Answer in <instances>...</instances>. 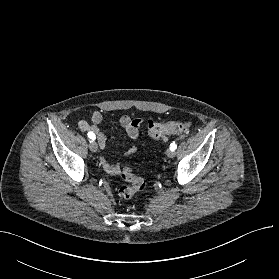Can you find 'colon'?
<instances>
[{
	"mask_svg": "<svg viewBox=\"0 0 279 279\" xmlns=\"http://www.w3.org/2000/svg\"><path fill=\"white\" fill-rule=\"evenodd\" d=\"M189 127L190 124L183 121H169L165 123L150 121L148 134L154 139H166L169 135L181 134L188 131ZM121 177L127 182V184L121 186L118 190V195L123 200L130 199L135 193L146 189V181L133 174L128 164H125L123 167Z\"/></svg>",
	"mask_w": 279,
	"mask_h": 279,
	"instance_id": "1",
	"label": "colon"
}]
</instances>
